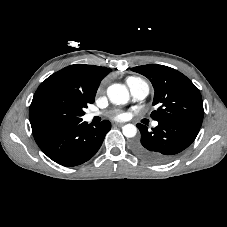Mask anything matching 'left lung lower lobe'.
<instances>
[{
  "label": "left lung lower lobe",
  "mask_w": 227,
  "mask_h": 227,
  "mask_svg": "<svg viewBox=\"0 0 227 227\" xmlns=\"http://www.w3.org/2000/svg\"><path fill=\"white\" fill-rule=\"evenodd\" d=\"M158 123L152 131L138 123L141 139L133 146L140 157L155 164L167 163L186 149L195 140L201 127L184 121Z\"/></svg>",
  "instance_id": "left-lung-lower-lobe-1"
}]
</instances>
